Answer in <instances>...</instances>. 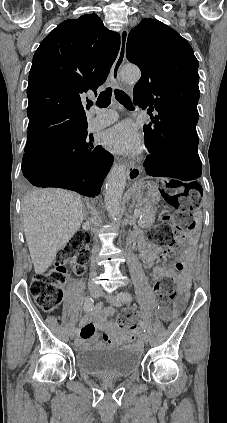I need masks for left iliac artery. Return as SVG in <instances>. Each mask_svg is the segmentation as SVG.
<instances>
[{
    "mask_svg": "<svg viewBox=\"0 0 227 423\" xmlns=\"http://www.w3.org/2000/svg\"><path fill=\"white\" fill-rule=\"evenodd\" d=\"M120 300L122 302H129V301L132 300V297H131V295L129 293L124 292V294L120 297ZM139 325H140L142 331L145 333L146 332V325H145V323L143 321H140Z\"/></svg>",
    "mask_w": 227,
    "mask_h": 423,
    "instance_id": "1",
    "label": "left iliac artery"
}]
</instances>
